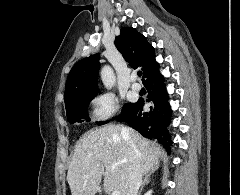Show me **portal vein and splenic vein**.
Listing matches in <instances>:
<instances>
[{
    "label": "portal vein and splenic vein",
    "mask_w": 240,
    "mask_h": 195,
    "mask_svg": "<svg viewBox=\"0 0 240 195\" xmlns=\"http://www.w3.org/2000/svg\"><path fill=\"white\" fill-rule=\"evenodd\" d=\"M111 195H121L120 191H112Z\"/></svg>",
    "instance_id": "1"
}]
</instances>
